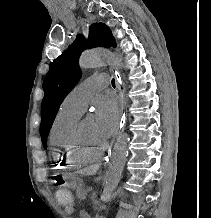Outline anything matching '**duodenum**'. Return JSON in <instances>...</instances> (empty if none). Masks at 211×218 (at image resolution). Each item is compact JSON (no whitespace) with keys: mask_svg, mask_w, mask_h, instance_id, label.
I'll return each instance as SVG.
<instances>
[{"mask_svg":"<svg viewBox=\"0 0 211 218\" xmlns=\"http://www.w3.org/2000/svg\"><path fill=\"white\" fill-rule=\"evenodd\" d=\"M80 217L81 218H92V215L89 211L87 210H81L80 211Z\"/></svg>","mask_w":211,"mask_h":218,"instance_id":"duodenum-1","label":"duodenum"}]
</instances>
